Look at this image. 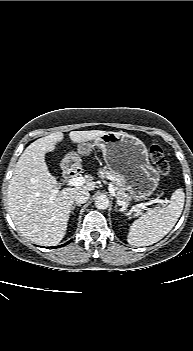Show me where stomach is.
Masks as SVG:
<instances>
[{
    "instance_id": "0dacf381",
    "label": "stomach",
    "mask_w": 193,
    "mask_h": 351,
    "mask_svg": "<svg viewBox=\"0 0 193 351\" xmlns=\"http://www.w3.org/2000/svg\"><path fill=\"white\" fill-rule=\"evenodd\" d=\"M103 153L110 172L123 177L127 190L135 201L147 199L160 181L159 171L151 165L146 145L139 138L125 132H107L95 140ZM89 142L78 145V154L70 153L64 162L79 160V154H88Z\"/></svg>"
}]
</instances>
